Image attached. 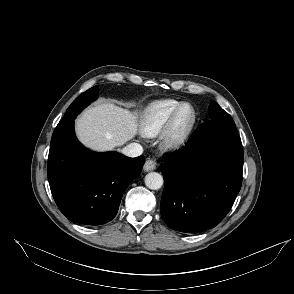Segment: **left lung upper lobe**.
<instances>
[{
  "label": "left lung upper lobe",
  "mask_w": 294,
  "mask_h": 294,
  "mask_svg": "<svg viewBox=\"0 0 294 294\" xmlns=\"http://www.w3.org/2000/svg\"><path fill=\"white\" fill-rule=\"evenodd\" d=\"M209 116L212 120H230L232 117L224 111L216 102L209 106Z\"/></svg>",
  "instance_id": "1"
}]
</instances>
